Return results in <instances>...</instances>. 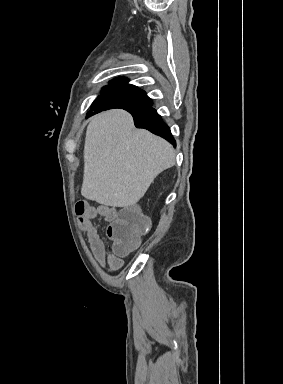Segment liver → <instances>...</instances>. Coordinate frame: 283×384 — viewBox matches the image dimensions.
Wrapping results in <instances>:
<instances>
[{"label": "liver", "mask_w": 283, "mask_h": 384, "mask_svg": "<svg viewBox=\"0 0 283 384\" xmlns=\"http://www.w3.org/2000/svg\"><path fill=\"white\" fill-rule=\"evenodd\" d=\"M174 164L169 142L136 130L128 112L108 110L91 118L87 126L81 194L103 206L128 208Z\"/></svg>", "instance_id": "liver-1"}]
</instances>
